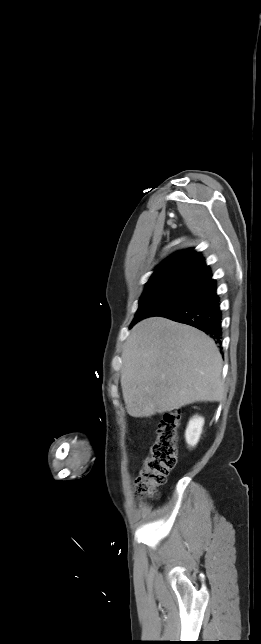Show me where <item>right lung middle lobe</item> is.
I'll use <instances>...</instances> for the list:
<instances>
[{
	"mask_svg": "<svg viewBox=\"0 0 261 644\" xmlns=\"http://www.w3.org/2000/svg\"><path fill=\"white\" fill-rule=\"evenodd\" d=\"M201 284L179 279L163 280L146 284L139 301V308L130 325L142 319L161 316L188 300Z\"/></svg>",
	"mask_w": 261,
	"mask_h": 644,
	"instance_id": "right-lung-middle-lobe-1",
	"label": "right lung middle lobe"
}]
</instances>
